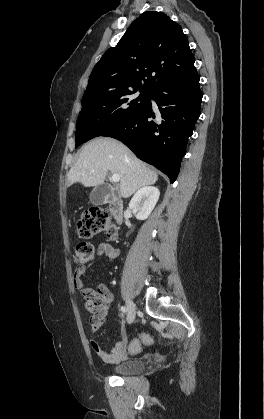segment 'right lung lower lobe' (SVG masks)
Returning <instances> with one entry per match:
<instances>
[{
    "label": "right lung lower lobe",
    "instance_id": "1",
    "mask_svg": "<svg viewBox=\"0 0 264 419\" xmlns=\"http://www.w3.org/2000/svg\"><path fill=\"white\" fill-rule=\"evenodd\" d=\"M153 99L158 109L152 107ZM145 105L102 136L120 140L135 155L168 175L173 183L200 116L199 75L155 86Z\"/></svg>",
    "mask_w": 264,
    "mask_h": 419
}]
</instances>
